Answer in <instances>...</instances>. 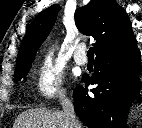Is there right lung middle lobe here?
I'll list each match as a JSON object with an SVG mask.
<instances>
[{
	"label": "right lung middle lobe",
	"instance_id": "dd1d6c3e",
	"mask_svg": "<svg viewBox=\"0 0 142 128\" xmlns=\"http://www.w3.org/2000/svg\"><path fill=\"white\" fill-rule=\"evenodd\" d=\"M33 59L16 64V70L14 73V78L16 81H20L22 77L27 76L30 68H31V63Z\"/></svg>",
	"mask_w": 142,
	"mask_h": 128
}]
</instances>
